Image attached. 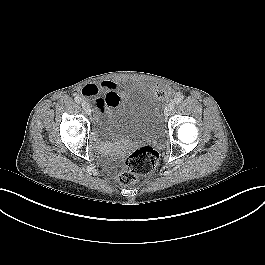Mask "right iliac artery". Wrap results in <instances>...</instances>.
I'll use <instances>...</instances> for the list:
<instances>
[{"label":"right iliac artery","mask_w":265,"mask_h":265,"mask_svg":"<svg viewBox=\"0 0 265 265\" xmlns=\"http://www.w3.org/2000/svg\"><path fill=\"white\" fill-rule=\"evenodd\" d=\"M82 101H83V100H82L81 97H79V96L75 97V102H76V103H81Z\"/></svg>","instance_id":"1"}]
</instances>
